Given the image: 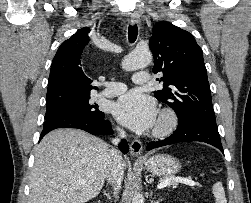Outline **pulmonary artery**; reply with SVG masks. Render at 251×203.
Segmentation results:
<instances>
[{
  "label": "pulmonary artery",
  "instance_id": "1",
  "mask_svg": "<svg viewBox=\"0 0 251 203\" xmlns=\"http://www.w3.org/2000/svg\"><path fill=\"white\" fill-rule=\"evenodd\" d=\"M133 82L135 84H143L149 81V75L147 72H139L133 75ZM127 86L121 82H109L107 84V89L102 91L100 97H113L125 92Z\"/></svg>",
  "mask_w": 251,
  "mask_h": 203
}]
</instances>
